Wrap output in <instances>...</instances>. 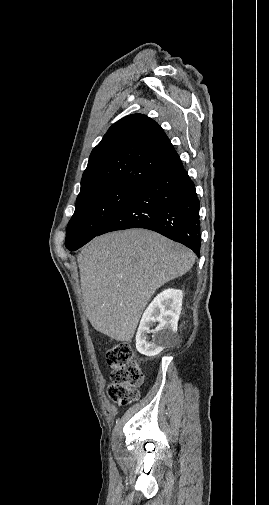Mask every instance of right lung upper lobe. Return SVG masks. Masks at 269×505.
<instances>
[{
  "mask_svg": "<svg viewBox=\"0 0 269 505\" xmlns=\"http://www.w3.org/2000/svg\"><path fill=\"white\" fill-rule=\"evenodd\" d=\"M180 160L163 129L142 114L114 123L92 150L81 180V191L102 184L142 186L152 176Z\"/></svg>",
  "mask_w": 269,
  "mask_h": 505,
  "instance_id": "1",
  "label": "right lung upper lobe"
}]
</instances>
